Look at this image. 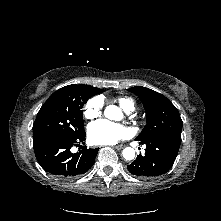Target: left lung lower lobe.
<instances>
[{"instance_id":"1","label":"left lung lower lobe","mask_w":221,"mask_h":221,"mask_svg":"<svg viewBox=\"0 0 221 221\" xmlns=\"http://www.w3.org/2000/svg\"><path fill=\"white\" fill-rule=\"evenodd\" d=\"M181 135L159 134L139 141L145 144V154L127 166L130 173L142 177H155L168 172L179 151Z\"/></svg>"}]
</instances>
